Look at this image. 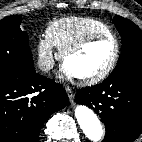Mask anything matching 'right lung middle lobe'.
<instances>
[{
	"instance_id": "obj_1",
	"label": "right lung middle lobe",
	"mask_w": 142,
	"mask_h": 142,
	"mask_svg": "<svg viewBox=\"0 0 142 142\" xmlns=\"http://www.w3.org/2000/svg\"><path fill=\"white\" fill-rule=\"evenodd\" d=\"M21 17L0 20V76L22 75L34 71L28 35L20 29Z\"/></svg>"
}]
</instances>
